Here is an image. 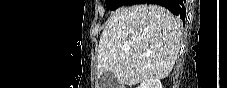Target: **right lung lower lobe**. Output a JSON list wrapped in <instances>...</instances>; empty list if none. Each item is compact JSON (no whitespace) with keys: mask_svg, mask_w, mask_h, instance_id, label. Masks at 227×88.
Instances as JSON below:
<instances>
[{"mask_svg":"<svg viewBox=\"0 0 227 88\" xmlns=\"http://www.w3.org/2000/svg\"><path fill=\"white\" fill-rule=\"evenodd\" d=\"M135 3L158 4L166 7L174 15H178L182 20L186 17L185 0H135Z\"/></svg>","mask_w":227,"mask_h":88,"instance_id":"98d812e1","label":"right lung lower lobe"}]
</instances>
